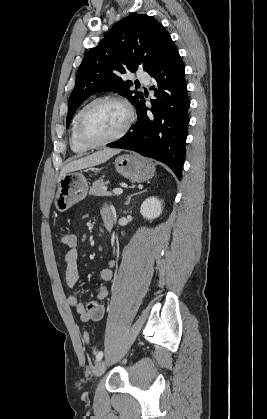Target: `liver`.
<instances>
[{
	"instance_id": "6515ba94",
	"label": "liver",
	"mask_w": 267,
	"mask_h": 419,
	"mask_svg": "<svg viewBox=\"0 0 267 419\" xmlns=\"http://www.w3.org/2000/svg\"><path fill=\"white\" fill-rule=\"evenodd\" d=\"M120 152L119 149H109L105 148L103 150L97 151L93 154L88 156L79 158L77 160H73L68 163L64 168H62L60 172L59 179L62 178L66 173L81 170L84 168L100 165L105 163L109 160L112 156L118 154Z\"/></svg>"
}]
</instances>
